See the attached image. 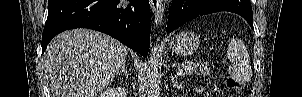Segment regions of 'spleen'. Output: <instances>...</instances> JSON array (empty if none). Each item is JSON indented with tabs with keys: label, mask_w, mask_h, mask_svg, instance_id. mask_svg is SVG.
Wrapping results in <instances>:
<instances>
[{
	"label": "spleen",
	"mask_w": 302,
	"mask_h": 97,
	"mask_svg": "<svg viewBox=\"0 0 302 97\" xmlns=\"http://www.w3.org/2000/svg\"><path fill=\"white\" fill-rule=\"evenodd\" d=\"M227 57L232 63L228 67L230 75L239 81L249 82L252 77V68L248 51L241 40L234 37L230 40Z\"/></svg>",
	"instance_id": "1"
}]
</instances>
